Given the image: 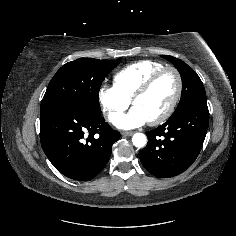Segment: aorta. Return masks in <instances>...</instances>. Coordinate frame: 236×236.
<instances>
[{
  "label": "aorta",
  "mask_w": 236,
  "mask_h": 236,
  "mask_svg": "<svg viewBox=\"0 0 236 236\" xmlns=\"http://www.w3.org/2000/svg\"><path fill=\"white\" fill-rule=\"evenodd\" d=\"M132 142L135 147L142 148L147 144V137L143 133H135Z\"/></svg>",
  "instance_id": "762f6f07"
}]
</instances>
